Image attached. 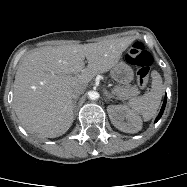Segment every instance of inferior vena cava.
<instances>
[{
    "mask_svg": "<svg viewBox=\"0 0 187 187\" xmlns=\"http://www.w3.org/2000/svg\"><path fill=\"white\" fill-rule=\"evenodd\" d=\"M83 91H84V87H82V86H77V87H75V88L71 91L70 96H71V98L76 99V98H78V97L83 93Z\"/></svg>",
    "mask_w": 187,
    "mask_h": 187,
    "instance_id": "obj_1",
    "label": "inferior vena cava"
}]
</instances>
